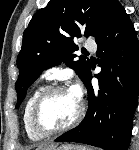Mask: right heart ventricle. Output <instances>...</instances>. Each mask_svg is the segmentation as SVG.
<instances>
[{
	"label": "right heart ventricle",
	"instance_id": "1",
	"mask_svg": "<svg viewBox=\"0 0 139 150\" xmlns=\"http://www.w3.org/2000/svg\"><path fill=\"white\" fill-rule=\"evenodd\" d=\"M44 88H45L44 86H38L37 88L34 89V91L31 93V95L27 99L25 107H24V111H23V125H24L25 132L27 136L31 140H34V141H38L42 139L43 137L33 131L31 127V123H30V115H31L32 106L36 98L38 97V95L41 93V91Z\"/></svg>",
	"mask_w": 139,
	"mask_h": 150
}]
</instances>
